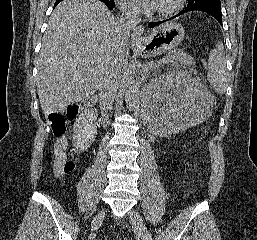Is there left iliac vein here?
Segmentation results:
<instances>
[{"label": "left iliac vein", "mask_w": 257, "mask_h": 240, "mask_svg": "<svg viewBox=\"0 0 257 240\" xmlns=\"http://www.w3.org/2000/svg\"><path fill=\"white\" fill-rule=\"evenodd\" d=\"M128 217L131 225L142 240H153L150 231L146 227L142 217L137 210L131 209L128 213Z\"/></svg>", "instance_id": "left-iliac-vein-1"}]
</instances>
